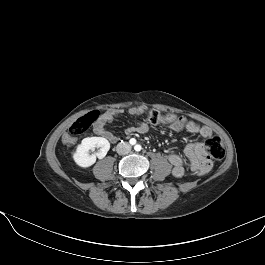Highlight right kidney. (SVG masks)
Segmentation results:
<instances>
[{"label":"right kidney","mask_w":265,"mask_h":265,"mask_svg":"<svg viewBox=\"0 0 265 265\" xmlns=\"http://www.w3.org/2000/svg\"><path fill=\"white\" fill-rule=\"evenodd\" d=\"M95 147L100 148L99 151L96 154H89V151L94 150ZM109 149L110 143L107 139L102 137H87L77 145L76 151L73 153V159L78 166L87 168L96 162V157L99 159L104 158Z\"/></svg>","instance_id":"obj_1"}]
</instances>
